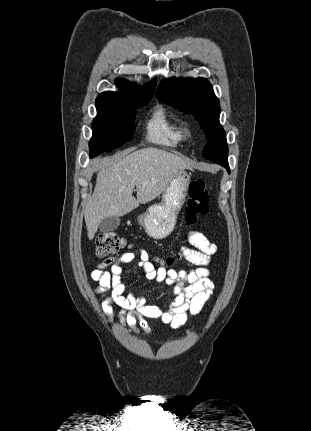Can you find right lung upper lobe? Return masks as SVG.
<instances>
[{"label":"right lung upper lobe","instance_id":"1","mask_svg":"<svg viewBox=\"0 0 311 431\" xmlns=\"http://www.w3.org/2000/svg\"><path fill=\"white\" fill-rule=\"evenodd\" d=\"M117 85L120 88L118 92H103L99 97H112V98H147L152 97L156 85V80H153L146 87L137 88L135 85L125 79H117Z\"/></svg>","mask_w":311,"mask_h":431}]
</instances>
